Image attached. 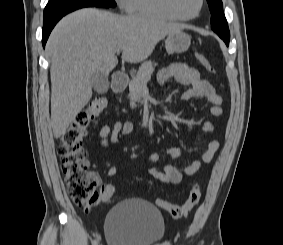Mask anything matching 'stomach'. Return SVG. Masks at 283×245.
Instances as JSON below:
<instances>
[{"label":"stomach","mask_w":283,"mask_h":245,"mask_svg":"<svg viewBox=\"0 0 283 245\" xmlns=\"http://www.w3.org/2000/svg\"><path fill=\"white\" fill-rule=\"evenodd\" d=\"M190 44V36L182 30L170 33L165 40V48L168 54L183 53L188 50Z\"/></svg>","instance_id":"1"}]
</instances>
